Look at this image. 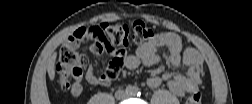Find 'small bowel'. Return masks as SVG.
<instances>
[{"instance_id": "obj_1", "label": "small bowel", "mask_w": 252, "mask_h": 104, "mask_svg": "<svg viewBox=\"0 0 252 104\" xmlns=\"http://www.w3.org/2000/svg\"><path fill=\"white\" fill-rule=\"evenodd\" d=\"M162 47L169 49L170 65L173 68L185 69L186 75L175 72L154 75L147 79V86L156 88L162 83H166L168 88L179 97L198 90L201 84L203 58L193 48L183 50L181 38L175 33L166 32L155 35L152 39L142 44L134 54L124 55L122 57V66L128 69H135L141 63L146 66H155L160 61L159 49ZM91 51L95 54H102L96 43L92 45ZM86 80L93 86L109 87L114 79L109 78L106 73L98 74L94 67L90 65L86 71ZM79 94L80 89L71 92L73 97H77Z\"/></svg>"}]
</instances>
